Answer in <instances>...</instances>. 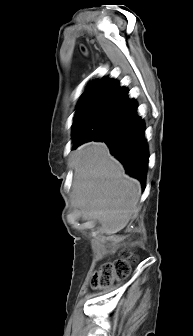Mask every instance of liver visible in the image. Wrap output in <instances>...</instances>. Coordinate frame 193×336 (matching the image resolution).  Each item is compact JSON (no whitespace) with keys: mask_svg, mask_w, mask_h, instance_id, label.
<instances>
[{"mask_svg":"<svg viewBox=\"0 0 193 336\" xmlns=\"http://www.w3.org/2000/svg\"><path fill=\"white\" fill-rule=\"evenodd\" d=\"M73 204L83 220H94L113 235L140 210L141 185L125 174L105 143L88 142L72 154Z\"/></svg>","mask_w":193,"mask_h":336,"instance_id":"6515ba94","label":"liver"}]
</instances>
